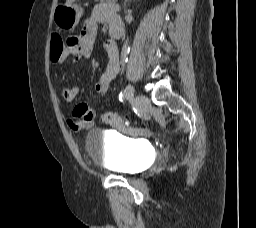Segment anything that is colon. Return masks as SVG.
Masks as SVG:
<instances>
[{
	"mask_svg": "<svg viewBox=\"0 0 256 228\" xmlns=\"http://www.w3.org/2000/svg\"><path fill=\"white\" fill-rule=\"evenodd\" d=\"M50 48L51 59H58L64 50V43L59 34H53L51 36ZM101 121L109 126H120L127 124V121L120 114L115 112H105L101 114Z\"/></svg>",
	"mask_w": 256,
	"mask_h": 228,
	"instance_id": "1",
	"label": "colon"
}]
</instances>
